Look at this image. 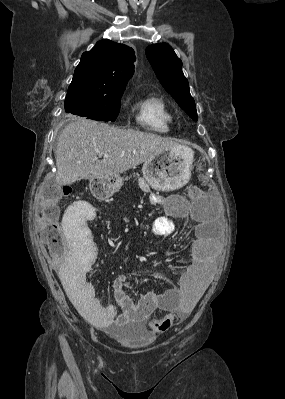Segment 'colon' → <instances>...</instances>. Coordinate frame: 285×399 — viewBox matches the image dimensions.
I'll return each mask as SVG.
<instances>
[{
	"label": "colon",
	"mask_w": 285,
	"mask_h": 399,
	"mask_svg": "<svg viewBox=\"0 0 285 399\" xmlns=\"http://www.w3.org/2000/svg\"><path fill=\"white\" fill-rule=\"evenodd\" d=\"M205 182V178H201ZM93 192L97 190L93 188ZM68 192L61 186L51 184L43 189L38 205L39 235L45 240L48 251L59 262H64L69 256V246L62 225L59 223V207ZM203 194L199 187H191L188 195L191 199H199ZM91 222V218H88ZM76 248H70L73 253ZM91 252L93 249L91 248Z\"/></svg>",
	"instance_id": "obj_1"
}]
</instances>
